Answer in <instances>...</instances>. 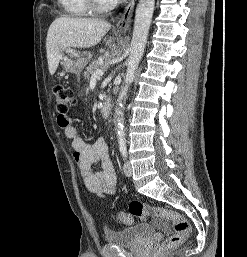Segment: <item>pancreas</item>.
I'll return each instance as SVG.
<instances>
[{
  "mask_svg": "<svg viewBox=\"0 0 247 257\" xmlns=\"http://www.w3.org/2000/svg\"><path fill=\"white\" fill-rule=\"evenodd\" d=\"M104 61L96 60L89 64L83 73L84 78L89 79L97 68H104Z\"/></svg>",
  "mask_w": 247,
  "mask_h": 257,
  "instance_id": "pancreas-1",
  "label": "pancreas"
}]
</instances>
